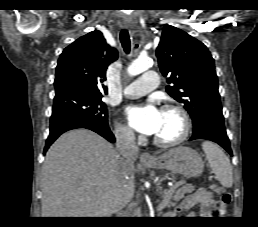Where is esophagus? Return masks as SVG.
<instances>
[{
	"label": "esophagus",
	"instance_id": "1",
	"mask_svg": "<svg viewBox=\"0 0 258 227\" xmlns=\"http://www.w3.org/2000/svg\"><path fill=\"white\" fill-rule=\"evenodd\" d=\"M124 26L129 27V26H132V24L125 22ZM153 160H154V158L148 152H143L140 156V162H142V163L152 162Z\"/></svg>",
	"mask_w": 258,
	"mask_h": 227
}]
</instances>
